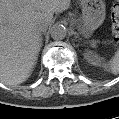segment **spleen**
<instances>
[{"mask_svg": "<svg viewBox=\"0 0 119 119\" xmlns=\"http://www.w3.org/2000/svg\"><path fill=\"white\" fill-rule=\"evenodd\" d=\"M85 58L93 65L102 66L105 69H108L112 74L116 75L119 73V49L115 53L114 57L109 63H104L97 56L92 54H86Z\"/></svg>", "mask_w": 119, "mask_h": 119, "instance_id": "spleen-1", "label": "spleen"}]
</instances>
